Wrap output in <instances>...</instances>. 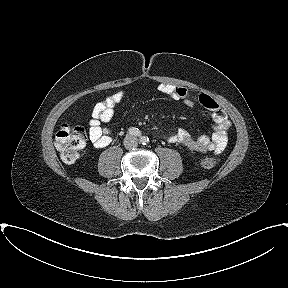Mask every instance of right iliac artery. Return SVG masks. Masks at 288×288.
Wrapping results in <instances>:
<instances>
[{"label": "right iliac artery", "mask_w": 288, "mask_h": 288, "mask_svg": "<svg viewBox=\"0 0 288 288\" xmlns=\"http://www.w3.org/2000/svg\"><path fill=\"white\" fill-rule=\"evenodd\" d=\"M128 133L130 135H134V136H140L141 135L140 130L138 128H135V127L128 129Z\"/></svg>", "instance_id": "82829eb1"}]
</instances>
